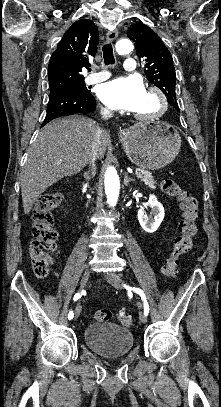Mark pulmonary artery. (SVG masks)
<instances>
[{
  "mask_svg": "<svg viewBox=\"0 0 221 407\" xmlns=\"http://www.w3.org/2000/svg\"><path fill=\"white\" fill-rule=\"evenodd\" d=\"M124 71L126 73H133L136 71V63L134 56H127L124 59ZM110 77V74L107 71H101L98 73L91 74L88 78L87 81L91 84H96L100 83L102 81H105Z\"/></svg>",
  "mask_w": 221,
  "mask_h": 407,
  "instance_id": "pulmonary-artery-1",
  "label": "pulmonary artery"
}]
</instances>
